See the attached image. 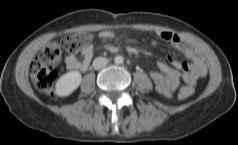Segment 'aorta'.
I'll list each match as a JSON object with an SVG mask.
<instances>
[{"instance_id":"obj_1","label":"aorta","mask_w":238,"mask_h":145,"mask_svg":"<svg viewBox=\"0 0 238 145\" xmlns=\"http://www.w3.org/2000/svg\"><path fill=\"white\" fill-rule=\"evenodd\" d=\"M114 62H115L116 64H122V63L124 62L123 56L117 55V56L115 57V59H114Z\"/></svg>"}]
</instances>
